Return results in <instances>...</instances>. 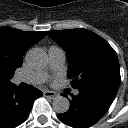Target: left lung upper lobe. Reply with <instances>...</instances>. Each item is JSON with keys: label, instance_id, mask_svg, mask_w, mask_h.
Returning a JSON list of instances; mask_svg holds the SVG:
<instances>
[{"label": "left lung upper lobe", "instance_id": "obj_1", "mask_svg": "<svg viewBox=\"0 0 128 128\" xmlns=\"http://www.w3.org/2000/svg\"><path fill=\"white\" fill-rule=\"evenodd\" d=\"M48 35L66 51L68 78L73 88L120 85V67L115 50L99 35L86 29L49 31Z\"/></svg>", "mask_w": 128, "mask_h": 128}]
</instances>
